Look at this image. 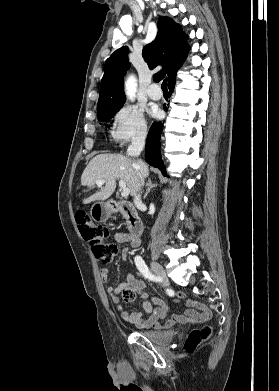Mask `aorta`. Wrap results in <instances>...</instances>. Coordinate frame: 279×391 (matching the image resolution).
Listing matches in <instances>:
<instances>
[{
	"label": "aorta",
	"mask_w": 279,
	"mask_h": 391,
	"mask_svg": "<svg viewBox=\"0 0 279 391\" xmlns=\"http://www.w3.org/2000/svg\"><path fill=\"white\" fill-rule=\"evenodd\" d=\"M137 87V80L134 76H129L125 82V93L129 100L133 101Z\"/></svg>",
	"instance_id": "obj_1"
}]
</instances>
